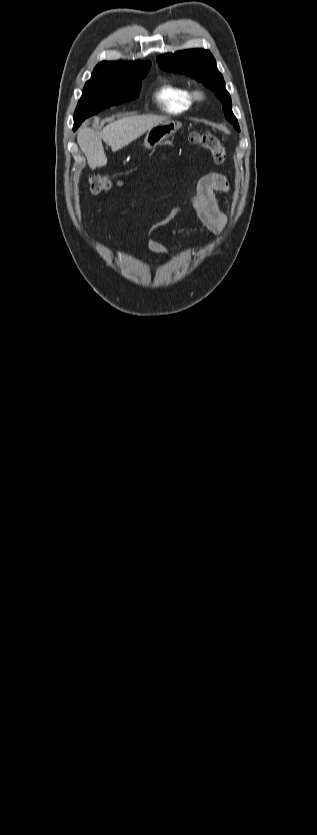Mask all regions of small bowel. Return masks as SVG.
Returning <instances> with one entry per match:
<instances>
[{
  "instance_id": "1",
  "label": "small bowel",
  "mask_w": 317,
  "mask_h": 835,
  "mask_svg": "<svg viewBox=\"0 0 317 835\" xmlns=\"http://www.w3.org/2000/svg\"><path fill=\"white\" fill-rule=\"evenodd\" d=\"M230 190L228 178L220 173L205 174L198 181L192 207L203 227L215 235L220 234L227 223V217L218 205L216 192H229ZM179 211L180 208H176L168 216L156 222L150 232L149 248L170 259H175V256L155 237V232L172 221Z\"/></svg>"
}]
</instances>
